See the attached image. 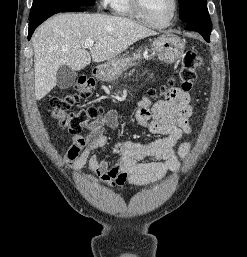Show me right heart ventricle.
I'll use <instances>...</instances> for the list:
<instances>
[{"label": "right heart ventricle", "instance_id": "right-heart-ventricle-1", "mask_svg": "<svg viewBox=\"0 0 247 257\" xmlns=\"http://www.w3.org/2000/svg\"><path fill=\"white\" fill-rule=\"evenodd\" d=\"M109 6L116 15L139 18L130 0H110Z\"/></svg>", "mask_w": 247, "mask_h": 257}]
</instances>
